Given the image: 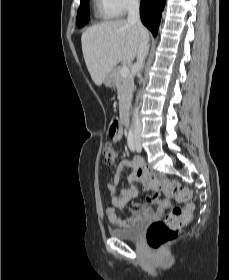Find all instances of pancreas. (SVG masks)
<instances>
[{
	"label": "pancreas",
	"instance_id": "pancreas-1",
	"mask_svg": "<svg viewBox=\"0 0 229 280\" xmlns=\"http://www.w3.org/2000/svg\"><path fill=\"white\" fill-rule=\"evenodd\" d=\"M115 77V86L119 99V111L123 113L131 100L134 82L131 75L122 77L119 67L115 70Z\"/></svg>",
	"mask_w": 229,
	"mask_h": 280
}]
</instances>
